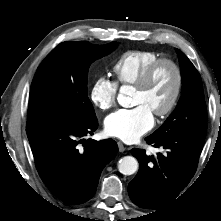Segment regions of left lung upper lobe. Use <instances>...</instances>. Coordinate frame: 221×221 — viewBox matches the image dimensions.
I'll use <instances>...</instances> for the list:
<instances>
[{
  "label": "left lung upper lobe",
  "instance_id": "1",
  "mask_svg": "<svg viewBox=\"0 0 221 221\" xmlns=\"http://www.w3.org/2000/svg\"><path fill=\"white\" fill-rule=\"evenodd\" d=\"M176 52L183 78L182 95L173 113L151 136L162 138L187 134L205 138L207 109L200 74L184 53L178 49Z\"/></svg>",
  "mask_w": 221,
  "mask_h": 221
}]
</instances>
